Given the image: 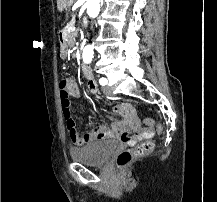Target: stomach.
Listing matches in <instances>:
<instances>
[{"label": "stomach", "instance_id": "1", "mask_svg": "<svg viewBox=\"0 0 217 202\" xmlns=\"http://www.w3.org/2000/svg\"><path fill=\"white\" fill-rule=\"evenodd\" d=\"M64 54H62V58H66L65 50H63Z\"/></svg>", "mask_w": 217, "mask_h": 202}]
</instances>
